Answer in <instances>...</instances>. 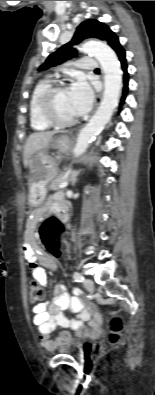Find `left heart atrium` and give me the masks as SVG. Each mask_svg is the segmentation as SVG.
<instances>
[{
    "label": "left heart atrium",
    "mask_w": 155,
    "mask_h": 395,
    "mask_svg": "<svg viewBox=\"0 0 155 395\" xmlns=\"http://www.w3.org/2000/svg\"><path fill=\"white\" fill-rule=\"evenodd\" d=\"M69 101L73 114L81 116L86 114L92 105L93 92L89 83L82 77L77 78L68 90Z\"/></svg>",
    "instance_id": "39dd6f15"
}]
</instances>
